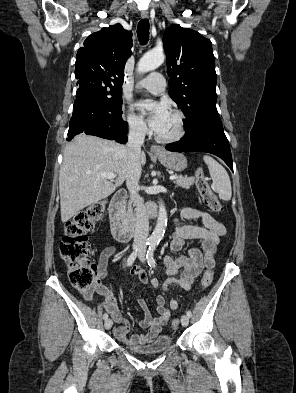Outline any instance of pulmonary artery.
<instances>
[{
    "instance_id": "1",
    "label": "pulmonary artery",
    "mask_w": 296,
    "mask_h": 393,
    "mask_svg": "<svg viewBox=\"0 0 296 393\" xmlns=\"http://www.w3.org/2000/svg\"><path fill=\"white\" fill-rule=\"evenodd\" d=\"M138 87L144 88L151 93L160 94L165 89V79L160 73H151L138 84Z\"/></svg>"
}]
</instances>
